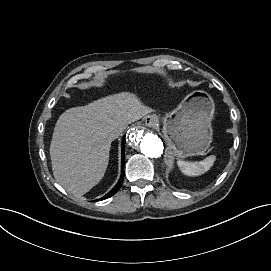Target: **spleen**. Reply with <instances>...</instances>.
Masks as SVG:
<instances>
[{
    "instance_id": "obj_1",
    "label": "spleen",
    "mask_w": 271,
    "mask_h": 271,
    "mask_svg": "<svg viewBox=\"0 0 271 271\" xmlns=\"http://www.w3.org/2000/svg\"><path fill=\"white\" fill-rule=\"evenodd\" d=\"M215 160L216 157L214 155H210L199 162H187L179 160L177 161V165L184 174L196 176L208 171L213 166Z\"/></svg>"
}]
</instances>
